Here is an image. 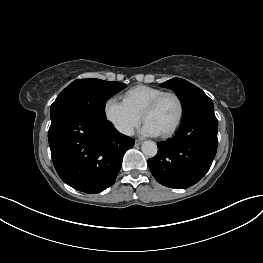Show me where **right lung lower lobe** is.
Masks as SVG:
<instances>
[{"mask_svg": "<svg viewBox=\"0 0 263 263\" xmlns=\"http://www.w3.org/2000/svg\"><path fill=\"white\" fill-rule=\"evenodd\" d=\"M54 167L69 186L85 193L110 187L134 139L116 131L106 118L66 113L51 121L48 131Z\"/></svg>", "mask_w": 263, "mask_h": 263, "instance_id": "1", "label": "right lung lower lobe"}]
</instances>
